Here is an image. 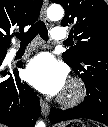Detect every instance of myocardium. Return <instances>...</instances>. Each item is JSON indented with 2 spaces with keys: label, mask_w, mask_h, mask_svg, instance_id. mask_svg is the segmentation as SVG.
Wrapping results in <instances>:
<instances>
[{
  "label": "myocardium",
  "mask_w": 108,
  "mask_h": 127,
  "mask_svg": "<svg viewBox=\"0 0 108 127\" xmlns=\"http://www.w3.org/2000/svg\"><path fill=\"white\" fill-rule=\"evenodd\" d=\"M85 96V88L83 83L76 78H72L64 92L59 97V101L61 104L67 107H72L79 104Z\"/></svg>",
  "instance_id": "obj_1"
}]
</instances>
